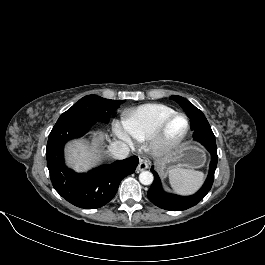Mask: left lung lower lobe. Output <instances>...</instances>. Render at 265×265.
Returning <instances> with one entry per match:
<instances>
[{"instance_id":"0a47b994","label":"left lung lower lobe","mask_w":265,"mask_h":265,"mask_svg":"<svg viewBox=\"0 0 265 265\" xmlns=\"http://www.w3.org/2000/svg\"><path fill=\"white\" fill-rule=\"evenodd\" d=\"M192 130L194 131L193 139L201 143L211 154V162L207 179L201 189L191 196L168 194L162 189L161 180L152 166L151 171L154 174V181L147 192V196L152 203L162 209L181 211L191 208L198 204L212 187L218 158L215 136L210 125H200Z\"/></svg>"}]
</instances>
